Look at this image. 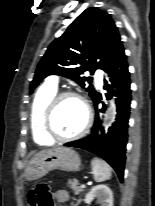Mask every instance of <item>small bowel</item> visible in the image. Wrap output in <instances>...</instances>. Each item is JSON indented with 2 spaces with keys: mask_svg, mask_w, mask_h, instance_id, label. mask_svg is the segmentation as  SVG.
<instances>
[{
  "mask_svg": "<svg viewBox=\"0 0 155 206\" xmlns=\"http://www.w3.org/2000/svg\"><path fill=\"white\" fill-rule=\"evenodd\" d=\"M50 195L55 201H57L60 204H65L69 200V195L65 190H58Z\"/></svg>",
  "mask_w": 155,
  "mask_h": 206,
  "instance_id": "small-bowel-1",
  "label": "small bowel"
}]
</instances>
